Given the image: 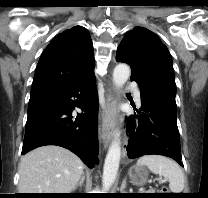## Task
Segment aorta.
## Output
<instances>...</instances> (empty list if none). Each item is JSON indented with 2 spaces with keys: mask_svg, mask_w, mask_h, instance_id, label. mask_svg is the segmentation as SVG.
Returning <instances> with one entry per match:
<instances>
[{
  "mask_svg": "<svg viewBox=\"0 0 208 198\" xmlns=\"http://www.w3.org/2000/svg\"><path fill=\"white\" fill-rule=\"evenodd\" d=\"M130 76V67L125 63L118 64L113 71V82L117 88H121ZM121 157L120 139L116 137L107 152L104 167L102 185L103 190L108 191L115 182Z\"/></svg>",
  "mask_w": 208,
  "mask_h": 198,
  "instance_id": "762f6f07",
  "label": "aorta"
}]
</instances>
